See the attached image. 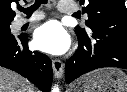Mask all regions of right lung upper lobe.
Segmentation results:
<instances>
[{
  "label": "right lung upper lobe",
  "mask_w": 127,
  "mask_h": 92,
  "mask_svg": "<svg viewBox=\"0 0 127 92\" xmlns=\"http://www.w3.org/2000/svg\"><path fill=\"white\" fill-rule=\"evenodd\" d=\"M18 0H0V25L11 24L15 13L11 8V3Z\"/></svg>",
  "instance_id": "cb5924a9"
}]
</instances>
